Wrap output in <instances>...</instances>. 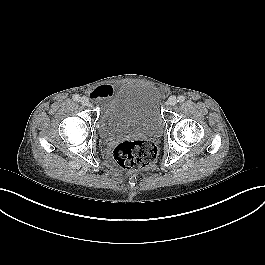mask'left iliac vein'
Segmentation results:
<instances>
[{"label":"left iliac vein","instance_id":"obj_1","mask_svg":"<svg viewBox=\"0 0 265 265\" xmlns=\"http://www.w3.org/2000/svg\"><path fill=\"white\" fill-rule=\"evenodd\" d=\"M168 104L170 106H175L177 104V98L175 96H171L168 99Z\"/></svg>","mask_w":265,"mask_h":265}]
</instances>
